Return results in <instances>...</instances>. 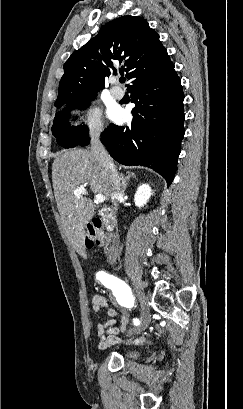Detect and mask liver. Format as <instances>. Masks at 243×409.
<instances>
[{
  "label": "liver",
  "mask_w": 243,
  "mask_h": 409,
  "mask_svg": "<svg viewBox=\"0 0 243 409\" xmlns=\"http://www.w3.org/2000/svg\"><path fill=\"white\" fill-rule=\"evenodd\" d=\"M52 181L57 207L66 236L80 251L84 246L85 227L95 215V204L74 190L83 186L106 200L111 198L106 172L93 154L84 149L62 151L52 166Z\"/></svg>",
  "instance_id": "liver-1"
}]
</instances>
